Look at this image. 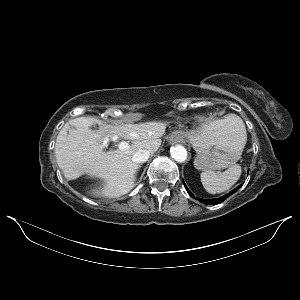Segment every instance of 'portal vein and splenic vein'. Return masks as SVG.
Here are the masks:
<instances>
[{
    "label": "portal vein and splenic vein",
    "mask_w": 300,
    "mask_h": 300,
    "mask_svg": "<svg viewBox=\"0 0 300 300\" xmlns=\"http://www.w3.org/2000/svg\"><path fill=\"white\" fill-rule=\"evenodd\" d=\"M118 148L120 150H126V149L129 148V144L125 141H122V142L119 143Z\"/></svg>",
    "instance_id": "obj_1"
}]
</instances>
